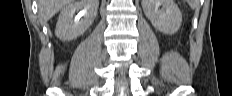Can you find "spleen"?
I'll return each mask as SVG.
<instances>
[{"label": "spleen", "instance_id": "3e777b00", "mask_svg": "<svg viewBox=\"0 0 232 96\" xmlns=\"http://www.w3.org/2000/svg\"><path fill=\"white\" fill-rule=\"evenodd\" d=\"M187 2H188V4L190 5V7L192 9L196 8V6H197V1L196 0H188Z\"/></svg>", "mask_w": 232, "mask_h": 96}]
</instances>
